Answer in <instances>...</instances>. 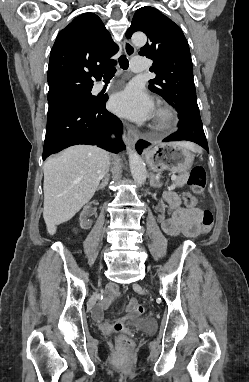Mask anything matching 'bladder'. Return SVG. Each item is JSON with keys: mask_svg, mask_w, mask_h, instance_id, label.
Listing matches in <instances>:
<instances>
[{"mask_svg": "<svg viewBox=\"0 0 249 382\" xmlns=\"http://www.w3.org/2000/svg\"><path fill=\"white\" fill-rule=\"evenodd\" d=\"M123 325L144 332H151L155 329V324L150 318H127L123 320Z\"/></svg>", "mask_w": 249, "mask_h": 382, "instance_id": "31cf9c89", "label": "bladder"}]
</instances>
